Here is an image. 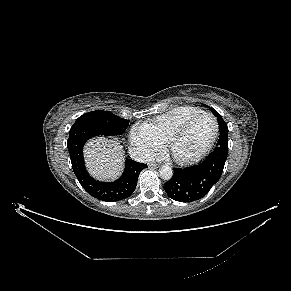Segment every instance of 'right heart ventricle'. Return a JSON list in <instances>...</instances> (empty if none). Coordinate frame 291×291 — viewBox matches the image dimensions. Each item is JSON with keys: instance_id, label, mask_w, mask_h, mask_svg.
<instances>
[{"instance_id": "1", "label": "right heart ventricle", "mask_w": 291, "mask_h": 291, "mask_svg": "<svg viewBox=\"0 0 291 291\" xmlns=\"http://www.w3.org/2000/svg\"><path fill=\"white\" fill-rule=\"evenodd\" d=\"M202 112L196 107H177L143 124L141 129L161 145L185 121Z\"/></svg>"}]
</instances>
